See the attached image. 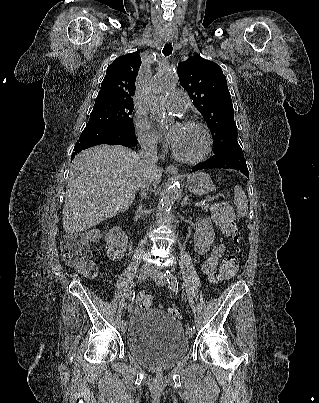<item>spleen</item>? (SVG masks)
I'll return each instance as SVG.
<instances>
[{
	"instance_id": "3e777b00",
	"label": "spleen",
	"mask_w": 319,
	"mask_h": 403,
	"mask_svg": "<svg viewBox=\"0 0 319 403\" xmlns=\"http://www.w3.org/2000/svg\"><path fill=\"white\" fill-rule=\"evenodd\" d=\"M234 203L237 206L238 216L245 217L248 214V200L244 191L238 185L234 189Z\"/></svg>"
}]
</instances>
